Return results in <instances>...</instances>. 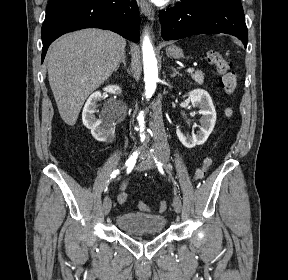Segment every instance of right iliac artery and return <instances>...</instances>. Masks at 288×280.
<instances>
[{
	"label": "right iliac artery",
	"instance_id": "1",
	"mask_svg": "<svg viewBox=\"0 0 288 280\" xmlns=\"http://www.w3.org/2000/svg\"><path fill=\"white\" fill-rule=\"evenodd\" d=\"M137 156H138V153H137V152H134V153L129 157V159L126 161L125 166L128 168V164H135V163H136ZM118 173H119V170H115V171L111 174L110 180H111L112 178H115ZM109 182H110V181L108 180V183H109ZM108 183H107V185H106V187H105V189H104V192H106V191L108 190V185H109Z\"/></svg>",
	"mask_w": 288,
	"mask_h": 280
}]
</instances>
